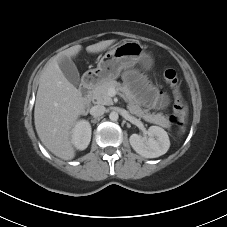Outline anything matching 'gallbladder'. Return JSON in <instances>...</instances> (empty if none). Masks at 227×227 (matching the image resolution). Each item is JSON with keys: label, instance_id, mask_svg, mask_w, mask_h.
<instances>
[{"label": "gallbladder", "instance_id": "gallbladder-1", "mask_svg": "<svg viewBox=\"0 0 227 227\" xmlns=\"http://www.w3.org/2000/svg\"><path fill=\"white\" fill-rule=\"evenodd\" d=\"M58 65L67 80L78 87L80 84V75L73 61L68 57H62L58 61Z\"/></svg>", "mask_w": 227, "mask_h": 227}]
</instances>
